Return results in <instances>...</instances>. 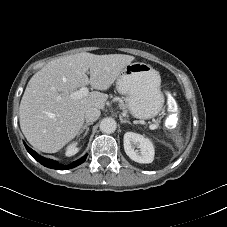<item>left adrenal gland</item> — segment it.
Wrapping results in <instances>:
<instances>
[{
  "instance_id": "left-adrenal-gland-1",
  "label": "left adrenal gland",
  "mask_w": 227,
  "mask_h": 227,
  "mask_svg": "<svg viewBox=\"0 0 227 227\" xmlns=\"http://www.w3.org/2000/svg\"><path fill=\"white\" fill-rule=\"evenodd\" d=\"M120 121H121V123H129V124H131L130 121L123 119L122 116H120Z\"/></svg>"
}]
</instances>
